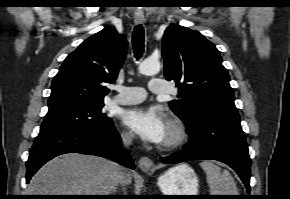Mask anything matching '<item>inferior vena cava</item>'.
Returning a JSON list of instances; mask_svg holds the SVG:
<instances>
[{
    "instance_id": "1",
    "label": "inferior vena cava",
    "mask_w": 290,
    "mask_h": 199,
    "mask_svg": "<svg viewBox=\"0 0 290 199\" xmlns=\"http://www.w3.org/2000/svg\"><path fill=\"white\" fill-rule=\"evenodd\" d=\"M133 137H134V134L131 132L123 133L121 135L122 143L124 147L128 148L132 144ZM122 179H123V168L117 165V172L114 175L113 186H112V189L114 191L116 190L118 184L123 183Z\"/></svg>"
}]
</instances>
